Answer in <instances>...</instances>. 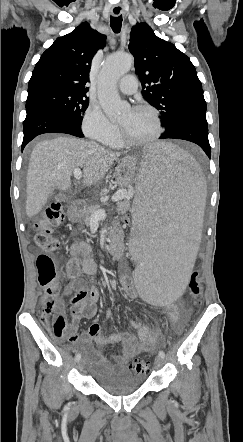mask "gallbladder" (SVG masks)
Listing matches in <instances>:
<instances>
[{
  "label": "gallbladder",
  "mask_w": 243,
  "mask_h": 442,
  "mask_svg": "<svg viewBox=\"0 0 243 442\" xmlns=\"http://www.w3.org/2000/svg\"><path fill=\"white\" fill-rule=\"evenodd\" d=\"M48 199H55L57 202L58 201H65L67 199V195H65L64 193H51L48 197Z\"/></svg>",
  "instance_id": "1"
}]
</instances>
